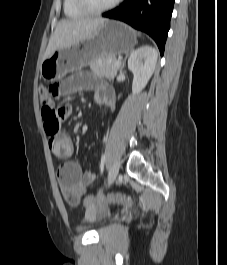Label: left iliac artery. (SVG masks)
<instances>
[{
  "instance_id": "left-iliac-artery-1",
  "label": "left iliac artery",
  "mask_w": 227,
  "mask_h": 265,
  "mask_svg": "<svg viewBox=\"0 0 227 265\" xmlns=\"http://www.w3.org/2000/svg\"><path fill=\"white\" fill-rule=\"evenodd\" d=\"M104 165H105V155H103L101 158V164H100L101 173H103Z\"/></svg>"
}]
</instances>
